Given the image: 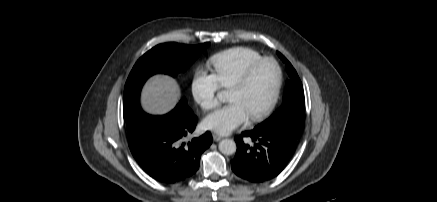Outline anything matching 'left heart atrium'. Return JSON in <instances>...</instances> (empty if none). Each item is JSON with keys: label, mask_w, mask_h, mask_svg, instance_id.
<instances>
[{"label": "left heart atrium", "mask_w": 437, "mask_h": 202, "mask_svg": "<svg viewBox=\"0 0 437 202\" xmlns=\"http://www.w3.org/2000/svg\"><path fill=\"white\" fill-rule=\"evenodd\" d=\"M248 116L239 102L219 108L207 115L203 120L206 129L213 130L219 134H228L245 123Z\"/></svg>", "instance_id": "39dd6f15"}]
</instances>
